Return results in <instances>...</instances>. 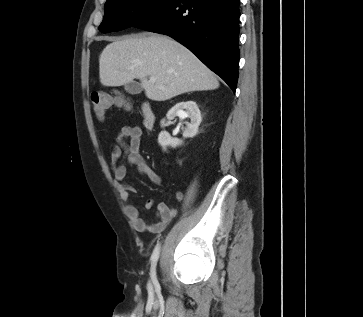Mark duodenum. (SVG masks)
<instances>
[{"instance_id":"410a0bca","label":"duodenum","mask_w":363,"mask_h":317,"mask_svg":"<svg viewBox=\"0 0 363 317\" xmlns=\"http://www.w3.org/2000/svg\"><path fill=\"white\" fill-rule=\"evenodd\" d=\"M142 110L144 116V126L148 129H152L155 124V114L153 109L149 105L145 104Z\"/></svg>"}]
</instances>
